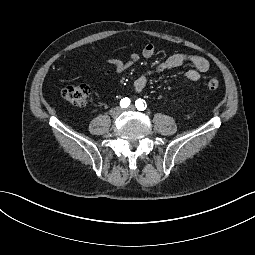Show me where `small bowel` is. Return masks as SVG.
Here are the masks:
<instances>
[{"label": "small bowel", "instance_id": "1", "mask_svg": "<svg viewBox=\"0 0 255 255\" xmlns=\"http://www.w3.org/2000/svg\"><path fill=\"white\" fill-rule=\"evenodd\" d=\"M156 53V48L153 44H147L142 50V56L146 59L152 58ZM138 55L134 54L127 61H122L119 59H113L108 62V64L103 68L107 70L109 68H114L118 72H122L130 67L136 60ZM190 64L193 66L184 74V82H195L200 79L201 74L205 73L210 68L209 61L198 55L175 53L167 57L165 60L156 63L151 69L146 70L143 74L138 76L133 81V88L136 93H141L147 86L149 78L154 73H160L169 69H174L180 67L184 64Z\"/></svg>", "mask_w": 255, "mask_h": 255}]
</instances>
